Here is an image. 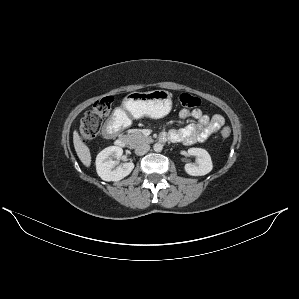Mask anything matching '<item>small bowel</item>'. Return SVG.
Here are the masks:
<instances>
[{
    "instance_id": "1",
    "label": "small bowel",
    "mask_w": 299,
    "mask_h": 299,
    "mask_svg": "<svg viewBox=\"0 0 299 299\" xmlns=\"http://www.w3.org/2000/svg\"><path fill=\"white\" fill-rule=\"evenodd\" d=\"M179 117L183 120L192 118L196 122L188 124L182 129L164 133V135L172 142L184 145H193L206 141L212 135L219 132L225 124V120L221 115H209L203 113L200 109H183L180 111ZM112 120L117 123L120 121L118 116Z\"/></svg>"
}]
</instances>
